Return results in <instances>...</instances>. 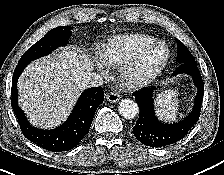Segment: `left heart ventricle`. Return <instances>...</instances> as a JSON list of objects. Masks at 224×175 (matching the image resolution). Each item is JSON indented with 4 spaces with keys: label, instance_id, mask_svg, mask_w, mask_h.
I'll return each mask as SVG.
<instances>
[{
    "label": "left heart ventricle",
    "instance_id": "1",
    "mask_svg": "<svg viewBox=\"0 0 224 175\" xmlns=\"http://www.w3.org/2000/svg\"><path fill=\"white\" fill-rule=\"evenodd\" d=\"M164 55V49L162 47H157L149 51L144 57L138 72L145 73L153 69L162 59Z\"/></svg>",
    "mask_w": 224,
    "mask_h": 175
}]
</instances>
